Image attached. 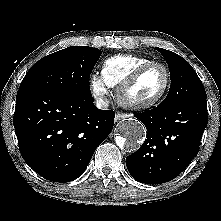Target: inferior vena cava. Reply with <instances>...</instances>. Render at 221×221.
<instances>
[{"mask_svg":"<svg viewBox=\"0 0 221 221\" xmlns=\"http://www.w3.org/2000/svg\"><path fill=\"white\" fill-rule=\"evenodd\" d=\"M109 106V100L107 98H98L96 100V107L99 109H107Z\"/></svg>","mask_w":221,"mask_h":221,"instance_id":"602c4592","label":"inferior vena cava"}]
</instances>
